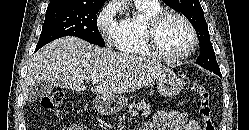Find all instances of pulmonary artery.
<instances>
[{"label": "pulmonary artery", "mask_w": 249, "mask_h": 130, "mask_svg": "<svg viewBox=\"0 0 249 130\" xmlns=\"http://www.w3.org/2000/svg\"><path fill=\"white\" fill-rule=\"evenodd\" d=\"M141 1H147V2H151V3H157L158 0H141Z\"/></svg>", "instance_id": "1"}]
</instances>
